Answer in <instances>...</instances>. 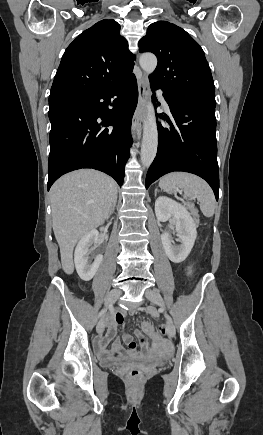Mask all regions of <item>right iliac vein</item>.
Returning a JSON list of instances; mask_svg holds the SVG:
<instances>
[{"label": "right iliac vein", "instance_id": "obj_1", "mask_svg": "<svg viewBox=\"0 0 263 435\" xmlns=\"http://www.w3.org/2000/svg\"><path fill=\"white\" fill-rule=\"evenodd\" d=\"M121 295V291L118 289H113L112 291H110V293L107 295L106 301H105V305L107 307H111L115 301L118 299V297ZM105 328V317L101 318V320L98 322L97 324V332L98 333H102L104 331Z\"/></svg>", "mask_w": 263, "mask_h": 435}]
</instances>
